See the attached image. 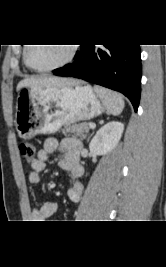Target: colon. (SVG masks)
Wrapping results in <instances>:
<instances>
[{
  "label": "colon",
  "instance_id": "obj_1",
  "mask_svg": "<svg viewBox=\"0 0 166 267\" xmlns=\"http://www.w3.org/2000/svg\"><path fill=\"white\" fill-rule=\"evenodd\" d=\"M20 155L28 160H34L35 157V145L32 142L23 141L19 144Z\"/></svg>",
  "mask_w": 166,
  "mask_h": 267
}]
</instances>
